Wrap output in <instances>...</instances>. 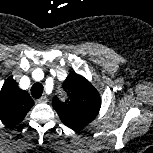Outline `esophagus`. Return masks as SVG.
Instances as JSON below:
<instances>
[{"mask_svg":"<svg viewBox=\"0 0 153 153\" xmlns=\"http://www.w3.org/2000/svg\"><path fill=\"white\" fill-rule=\"evenodd\" d=\"M48 101L47 96H42L37 100L38 103H46Z\"/></svg>","mask_w":153,"mask_h":153,"instance_id":"esophagus-1","label":"esophagus"}]
</instances>
